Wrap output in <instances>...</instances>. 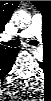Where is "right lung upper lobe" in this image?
I'll list each match as a JSON object with an SVG mask.
<instances>
[{
  "label": "right lung upper lobe",
  "instance_id": "right-lung-upper-lobe-1",
  "mask_svg": "<svg viewBox=\"0 0 51 101\" xmlns=\"http://www.w3.org/2000/svg\"><path fill=\"white\" fill-rule=\"evenodd\" d=\"M19 1H1L0 2V33L4 30L5 24L11 18L12 12L18 6ZM5 52H2L0 57V66L3 69L18 52L16 48L4 47Z\"/></svg>",
  "mask_w": 51,
  "mask_h": 101
}]
</instances>
